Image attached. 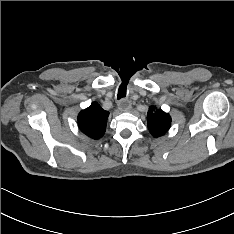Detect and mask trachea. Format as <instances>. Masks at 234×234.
Wrapping results in <instances>:
<instances>
[{"instance_id":"trachea-1","label":"trachea","mask_w":234,"mask_h":234,"mask_svg":"<svg viewBox=\"0 0 234 234\" xmlns=\"http://www.w3.org/2000/svg\"><path fill=\"white\" fill-rule=\"evenodd\" d=\"M126 96V84L122 83L118 89L117 99L124 98Z\"/></svg>"}]
</instances>
